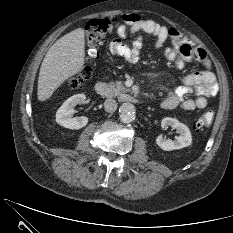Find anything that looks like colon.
Masks as SVG:
<instances>
[{
	"label": "colon",
	"mask_w": 233,
	"mask_h": 233,
	"mask_svg": "<svg viewBox=\"0 0 233 233\" xmlns=\"http://www.w3.org/2000/svg\"><path fill=\"white\" fill-rule=\"evenodd\" d=\"M116 25L117 20L115 19H92L89 21L85 33L87 63L82 70L69 81L70 87L78 88L91 77L92 69L90 63L99 56L102 39L110 33ZM168 57L176 66H182V58L178 54L170 51ZM213 119L214 112L208 110L194 122V128L203 130L211 125Z\"/></svg>",
	"instance_id": "1"
}]
</instances>
